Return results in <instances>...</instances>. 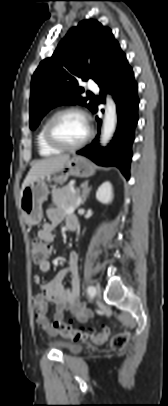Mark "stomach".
I'll return each instance as SVG.
<instances>
[{"label":"stomach","instance_id":"1","mask_svg":"<svg viewBox=\"0 0 168 406\" xmlns=\"http://www.w3.org/2000/svg\"><path fill=\"white\" fill-rule=\"evenodd\" d=\"M95 173L94 165L84 157L74 156L68 160L60 174H51L27 185L20 197V210L27 225H37L41 222L42 204L49 195L46 181L63 183L69 176L87 178Z\"/></svg>","mask_w":168,"mask_h":406}]
</instances>
